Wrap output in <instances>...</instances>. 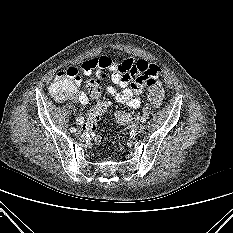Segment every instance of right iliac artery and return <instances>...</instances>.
<instances>
[{"instance_id": "right-iliac-artery-1", "label": "right iliac artery", "mask_w": 233, "mask_h": 233, "mask_svg": "<svg viewBox=\"0 0 233 233\" xmlns=\"http://www.w3.org/2000/svg\"><path fill=\"white\" fill-rule=\"evenodd\" d=\"M70 132H71V133H75V132H76V128H75V127H71V128H70Z\"/></svg>"}]
</instances>
